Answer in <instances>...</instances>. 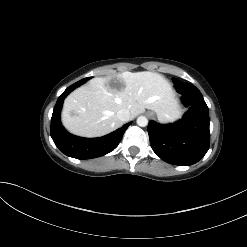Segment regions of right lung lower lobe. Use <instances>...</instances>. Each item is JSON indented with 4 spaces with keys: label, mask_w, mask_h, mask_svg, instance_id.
I'll list each match as a JSON object with an SVG mask.
<instances>
[{
    "label": "right lung lower lobe",
    "mask_w": 247,
    "mask_h": 247,
    "mask_svg": "<svg viewBox=\"0 0 247 247\" xmlns=\"http://www.w3.org/2000/svg\"><path fill=\"white\" fill-rule=\"evenodd\" d=\"M80 80L68 87L58 98L51 118V137L61 152L76 159H91L111 152L120 142L131 123L99 138H82L68 133L60 121V111L65 97L76 87L84 84Z\"/></svg>",
    "instance_id": "98d812e1"
}]
</instances>
